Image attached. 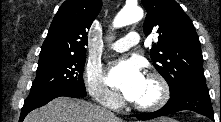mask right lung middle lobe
Segmentation results:
<instances>
[{
	"instance_id": "dd1d6c3e",
	"label": "right lung middle lobe",
	"mask_w": 221,
	"mask_h": 122,
	"mask_svg": "<svg viewBox=\"0 0 221 122\" xmlns=\"http://www.w3.org/2000/svg\"><path fill=\"white\" fill-rule=\"evenodd\" d=\"M84 64L85 56L39 59L37 75L30 92L57 87H70L85 91L82 75Z\"/></svg>"
}]
</instances>
